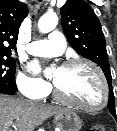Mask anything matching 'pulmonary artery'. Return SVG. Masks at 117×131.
Returning <instances> with one entry per match:
<instances>
[{
    "label": "pulmonary artery",
    "instance_id": "obj_1",
    "mask_svg": "<svg viewBox=\"0 0 117 131\" xmlns=\"http://www.w3.org/2000/svg\"><path fill=\"white\" fill-rule=\"evenodd\" d=\"M66 42L63 34L59 31H53L47 39L36 40L27 46V51L31 55L51 57L63 53Z\"/></svg>",
    "mask_w": 117,
    "mask_h": 131
}]
</instances>
